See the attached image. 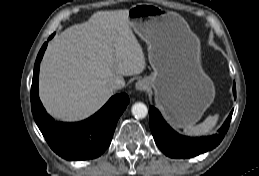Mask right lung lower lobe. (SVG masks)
I'll return each instance as SVG.
<instances>
[{
	"instance_id": "right-lung-lower-lobe-1",
	"label": "right lung lower lobe",
	"mask_w": 259,
	"mask_h": 176,
	"mask_svg": "<svg viewBox=\"0 0 259 176\" xmlns=\"http://www.w3.org/2000/svg\"><path fill=\"white\" fill-rule=\"evenodd\" d=\"M46 47L47 42L39 51L34 66L31 87L34 120L51 149L59 156L67 160L96 158L110 145L117 121L126 109L129 97L124 93L113 96L96 114L81 122L55 121L47 114L38 96L40 61Z\"/></svg>"
}]
</instances>
